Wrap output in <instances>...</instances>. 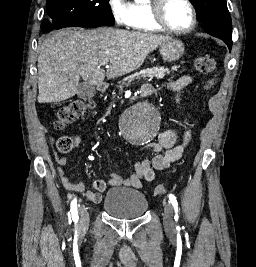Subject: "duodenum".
Listing matches in <instances>:
<instances>
[{
    "instance_id": "obj_1",
    "label": "duodenum",
    "mask_w": 256,
    "mask_h": 267,
    "mask_svg": "<svg viewBox=\"0 0 256 267\" xmlns=\"http://www.w3.org/2000/svg\"><path fill=\"white\" fill-rule=\"evenodd\" d=\"M149 87H152V82H142V85L138 86V99H147L148 93H149ZM97 89L101 90H108L110 89V83L109 81H99V84H97Z\"/></svg>"
}]
</instances>
